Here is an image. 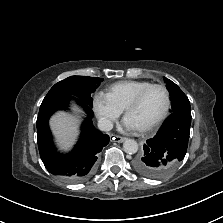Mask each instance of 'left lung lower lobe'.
Wrapping results in <instances>:
<instances>
[{"mask_svg":"<svg viewBox=\"0 0 223 223\" xmlns=\"http://www.w3.org/2000/svg\"><path fill=\"white\" fill-rule=\"evenodd\" d=\"M191 118L184 112L171 113L157 134L144 144L143 153L133 161L135 170L152 179L171 174L185 157Z\"/></svg>","mask_w":223,"mask_h":223,"instance_id":"left-lung-lower-lobe-1","label":"left lung lower lobe"}]
</instances>
